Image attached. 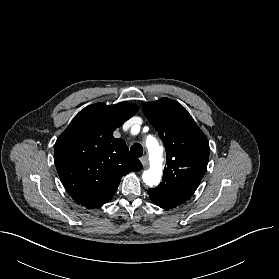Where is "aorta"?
<instances>
[{"mask_svg": "<svg viewBox=\"0 0 279 279\" xmlns=\"http://www.w3.org/2000/svg\"><path fill=\"white\" fill-rule=\"evenodd\" d=\"M146 144L151 156V166L149 170L143 172L142 179L146 185L152 187L158 185L161 180L163 161L162 147H160L158 142L152 137L147 139Z\"/></svg>", "mask_w": 279, "mask_h": 279, "instance_id": "obj_1", "label": "aorta"}]
</instances>
